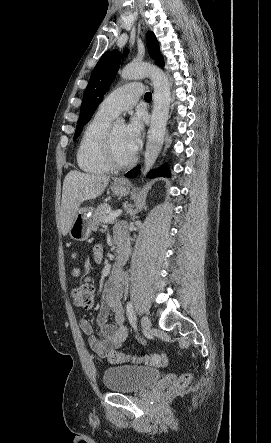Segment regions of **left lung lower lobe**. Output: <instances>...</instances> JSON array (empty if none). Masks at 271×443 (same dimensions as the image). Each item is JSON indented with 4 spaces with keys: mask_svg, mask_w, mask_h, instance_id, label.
I'll return each instance as SVG.
<instances>
[{
    "mask_svg": "<svg viewBox=\"0 0 271 443\" xmlns=\"http://www.w3.org/2000/svg\"><path fill=\"white\" fill-rule=\"evenodd\" d=\"M156 63L159 64V65H161V66H163V65H164L163 57L161 56V57L156 61ZM139 170H140V166H137V167H135L134 169L130 170V171L126 174V176L129 177V178H134V177H136V176L138 175ZM156 176L170 177V171H169V169L167 168V166L164 165V166L160 167L159 169H157V170H155V171H151V172L148 174V177H149V178H154V177H156Z\"/></svg>",
    "mask_w": 271,
    "mask_h": 443,
    "instance_id": "0a47b994",
    "label": "left lung lower lobe"
}]
</instances>
